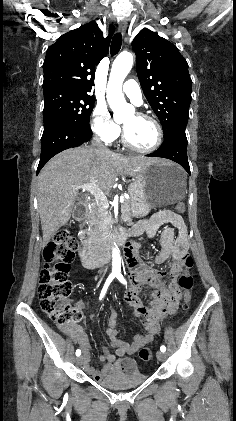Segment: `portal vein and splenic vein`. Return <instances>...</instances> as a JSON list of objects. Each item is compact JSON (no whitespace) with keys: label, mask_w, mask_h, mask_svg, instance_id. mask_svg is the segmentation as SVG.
<instances>
[{"label":"portal vein and splenic vein","mask_w":236,"mask_h":421,"mask_svg":"<svg viewBox=\"0 0 236 421\" xmlns=\"http://www.w3.org/2000/svg\"><path fill=\"white\" fill-rule=\"evenodd\" d=\"M73 188H82V190H88L91 194H94L98 204L102 206H109L107 196H105L103 190L99 188L96 184V180H90V182H85V184H72ZM125 196H120V202H124Z\"/></svg>","instance_id":"1"}]
</instances>
